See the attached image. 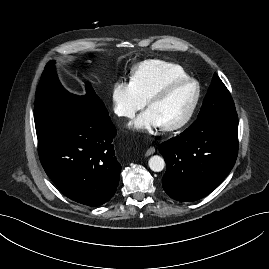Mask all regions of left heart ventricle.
I'll use <instances>...</instances> for the list:
<instances>
[{"instance_id": "b2bd125f", "label": "left heart ventricle", "mask_w": 269, "mask_h": 269, "mask_svg": "<svg viewBox=\"0 0 269 269\" xmlns=\"http://www.w3.org/2000/svg\"><path fill=\"white\" fill-rule=\"evenodd\" d=\"M195 94L192 84L180 86L165 98L153 103L148 109L159 119L162 126L178 122L187 112Z\"/></svg>"}]
</instances>
